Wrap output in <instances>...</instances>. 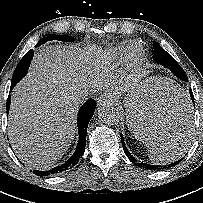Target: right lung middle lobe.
<instances>
[{
	"instance_id": "1",
	"label": "right lung middle lobe",
	"mask_w": 203,
	"mask_h": 203,
	"mask_svg": "<svg viewBox=\"0 0 203 203\" xmlns=\"http://www.w3.org/2000/svg\"><path fill=\"white\" fill-rule=\"evenodd\" d=\"M50 40H59V41H66V42H72L75 39L71 36H57V35H49L48 37L43 38L40 40L35 47L40 46L41 44L50 41ZM29 68V65H24L23 63L19 62L17 65L13 76L11 84L15 86L27 73Z\"/></svg>"
}]
</instances>
